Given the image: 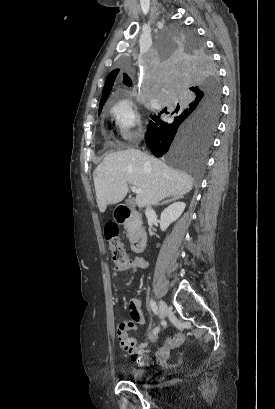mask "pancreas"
Listing matches in <instances>:
<instances>
[{
	"mask_svg": "<svg viewBox=\"0 0 275 409\" xmlns=\"http://www.w3.org/2000/svg\"><path fill=\"white\" fill-rule=\"evenodd\" d=\"M124 225V229H126L127 231V237L128 239H131L132 235L136 233L137 229H140L141 221H137V219H133V217H130L129 221H126Z\"/></svg>",
	"mask_w": 275,
	"mask_h": 409,
	"instance_id": "cf45deb5",
	"label": "pancreas"
}]
</instances>
